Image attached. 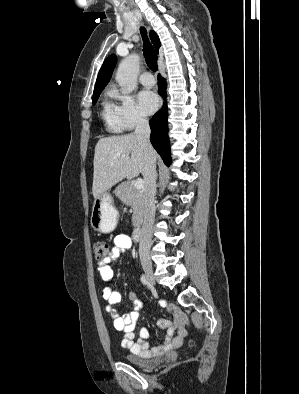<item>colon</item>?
Wrapping results in <instances>:
<instances>
[{"instance_id": "colon-1", "label": "colon", "mask_w": 299, "mask_h": 394, "mask_svg": "<svg viewBox=\"0 0 299 394\" xmlns=\"http://www.w3.org/2000/svg\"><path fill=\"white\" fill-rule=\"evenodd\" d=\"M94 257L97 261L103 262L110 255V246L107 242L102 240H95L92 245Z\"/></svg>"}]
</instances>
